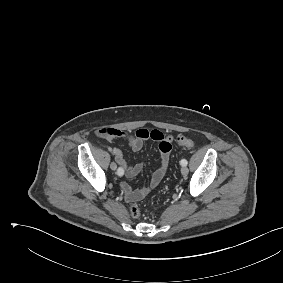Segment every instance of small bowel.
<instances>
[{
	"label": "small bowel",
	"instance_id": "c3829d8e",
	"mask_svg": "<svg viewBox=\"0 0 283 283\" xmlns=\"http://www.w3.org/2000/svg\"><path fill=\"white\" fill-rule=\"evenodd\" d=\"M96 135L99 138L105 139L107 141H111L117 138L124 139L127 141L129 147L133 151L141 150L144 142L148 139H153L159 142L161 161L158 168L153 173L148 185L139 189H133L127 183L121 184V189L124 192L125 199L127 201H137L142 199L150 192V190L155 188L161 182L169 166V157H170L171 140H172L171 136H165L159 130H148L145 128H141L138 129L134 134H132L128 131H124L112 127L101 128L96 132ZM111 152L114 155L116 162L124 170V174L126 177L133 178L142 171L143 165L137 164L131 166L128 163V161L125 159L120 148L114 147L112 148Z\"/></svg>",
	"mask_w": 283,
	"mask_h": 283
}]
</instances>
